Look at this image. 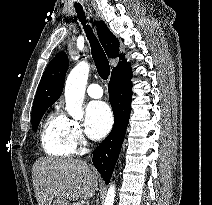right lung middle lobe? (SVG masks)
<instances>
[{"mask_svg": "<svg viewBox=\"0 0 212 205\" xmlns=\"http://www.w3.org/2000/svg\"><path fill=\"white\" fill-rule=\"evenodd\" d=\"M50 106H51V104L41 105V106L34 107L32 109L31 122H32V128H33L34 131H37L41 117L44 115L45 111Z\"/></svg>", "mask_w": 212, "mask_h": 205, "instance_id": "1", "label": "right lung middle lobe"}]
</instances>
